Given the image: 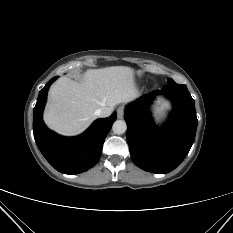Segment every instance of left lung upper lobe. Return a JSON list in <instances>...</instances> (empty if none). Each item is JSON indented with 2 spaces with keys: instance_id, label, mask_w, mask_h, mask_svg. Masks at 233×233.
<instances>
[{
  "instance_id": "left-lung-upper-lobe-1",
  "label": "left lung upper lobe",
  "mask_w": 233,
  "mask_h": 233,
  "mask_svg": "<svg viewBox=\"0 0 233 233\" xmlns=\"http://www.w3.org/2000/svg\"><path fill=\"white\" fill-rule=\"evenodd\" d=\"M167 80H168V84L174 83V81L172 79H170V78H168Z\"/></svg>"
}]
</instances>
